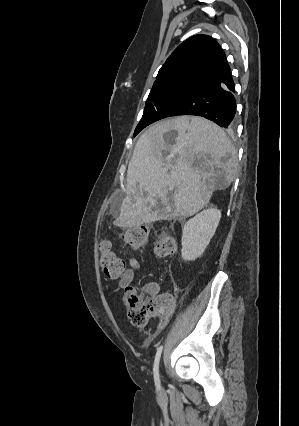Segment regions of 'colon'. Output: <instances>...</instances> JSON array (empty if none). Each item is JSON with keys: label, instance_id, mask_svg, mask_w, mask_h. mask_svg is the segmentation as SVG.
<instances>
[{"label": "colon", "instance_id": "colon-1", "mask_svg": "<svg viewBox=\"0 0 299 426\" xmlns=\"http://www.w3.org/2000/svg\"><path fill=\"white\" fill-rule=\"evenodd\" d=\"M122 241L134 250L143 249L147 244L148 230L145 227L130 228L121 233ZM177 243L169 231H161L154 242L155 253L159 256H170L176 252ZM100 264L106 276L118 278L125 271V262L113 251L108 240L99 243ZM125 297L128 305V316L133 325L144 327L152 316L163 314L171 304L167 295H158L151 288L127 287Z\"/></svg>", "mask_w": 299, "mask_h": 426}]
</instances>
